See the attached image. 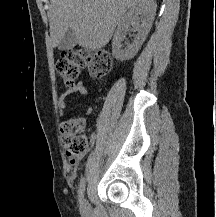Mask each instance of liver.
Instances as JSON below:
<instances>
[{"instance_id": "6515ba94", "label": "liver", "mask_w": 216, "mask_h": 217, "mask_svg": "<svg viewBox=\"0 0 216 217\" xmlns=\"http://www.w3.org/2000/svg\"><path fill=\"white\" fill-rule=\"evenodd\" d=\"M140 0H50V35L57 46L69 28L79 46L100 50L105 47L123 14Z\"/></svg>"}]
</instances>
